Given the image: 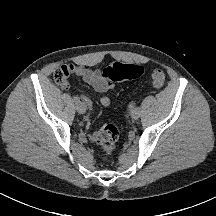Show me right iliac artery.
<instances>
[{"label":"right iliac artery","mask_w":216,"mask_h":216,"mask_svg":"<svg viewBox=\"0 0 216 216\" xmlns=\"http://www.w3.org/2000/svg\"><path fill=\"white\" fill-rule=\"evenodd\" d=\"M73 100H74L75 103H78V102L80 101V100H79V97H77V96H74V97H73Z\"/></svg>","instance_id":"right-iliac-artery-1"}]
</instances>
